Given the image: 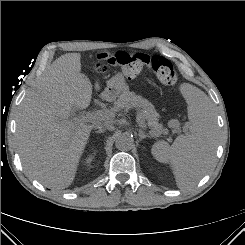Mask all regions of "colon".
Wrapping results in <instances>:
<instances>
[{"mask_svg": "<svg viewBox=\"0 0 245 245\" xmlns=\"http://www.w3.org/2000/svg\"><path fill=\"white\" fill-rule=\"evenodd\" d=\"M108 66L119 68L123 75L129 79L138 75L143 66H147L166 85H174L178 81L172 63L163 56H149L144 53L120 51L114 55L100 58L95 64V68L101 73H105L108 70Z\"/></svg>", "mask_w": 245, "mask_h": 245, "instance_id": "colon-1", "label": "colon"}]
</instances>
